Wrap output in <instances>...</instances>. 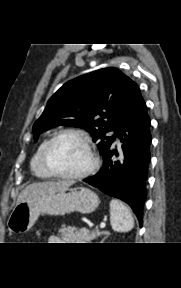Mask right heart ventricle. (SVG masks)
I'll use <instances>...</instances> for the list:
<instances>
[{"label": "right heart ventricle", "instance_id": "e07e8e85", "mask_svg": "<svg viewBox=\"0 0 181 288\" xmlns=\"http://www.w3.org/2000/svg\"><path fill=\"white\" fill-rule=\"evenodd\" d=\"M47 141H48V139H45L39 145L38 149L36 150V152L34 153L32 159H31V163H30V167H31L33 174L37 178L43 179V180L51 179L54 177L45 168V166L43 164V160H42L43 150H44V147H45Z\"/></svg>", "mask_w": 181, "mask_h": 288}]
</instances>
